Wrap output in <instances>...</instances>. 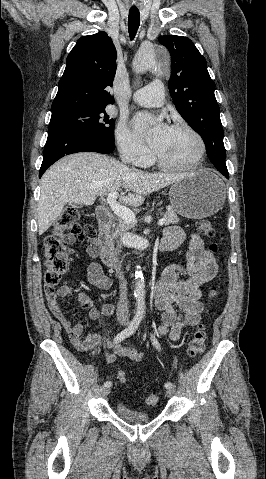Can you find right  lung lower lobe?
I'll use <instances>...</instances> for the list:
<instances>
[{
  "label": "right lung lower lobe",
  "instance_id": "obj_1",
  "mask_svg": "<svg viewBox=\"0 0 266 479\" xmlns=\"http://www.w3.org/2000/svg\"><path fill=\"white\" fill-rule=\"evenodd\" d=\"M114 142H109L87 134L76 133L62 129L48 130V138L43 153V162L39 177L58 159L76 152L111 153Z\"/></svg>",
  "mask_w": 266,
  "mask_h": 479
}]
</instances>
